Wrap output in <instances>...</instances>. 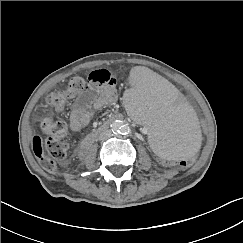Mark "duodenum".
<instances>
[{
  "label": "duodenum",
  "mask_w": 243,
  "mask_h": 243,
  "mask_svg": "<svg viewBox=\"0 0 243 243\" xmlns=\"http://www.w3.org/2000/svg\"><path fill=\"white\" fill-rule=\"evenodd\" d=\"M122 120L121 115H115L112 118L105 121L101 126L94 129L91 133H89L81 142L79 150L81 154L87 153L89 148L91 147L92 142L104 131H107L111 125L116 122Z\"/></svg>",
  "instance_id": "obj_1"
}]
</instances>
